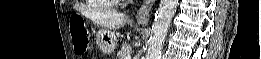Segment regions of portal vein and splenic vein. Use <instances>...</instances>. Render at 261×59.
I'll use <instances>...</instances> for the list:
<instances>
[{"mask_svg":"<svg viewBox=\"0 0 261 59\" xmlns=\"http://www.w3.org/2000/svg\"><path fill=\"white\" fill-rule=\"evenodd\" d=\"M126 59H131V57H130V56H128V57H126Z\"/></svg>","mask_w":261,"mask_h":59,"instance_id":"18ae733b","label":"portal vein and splenic vein"}]
</instances>
